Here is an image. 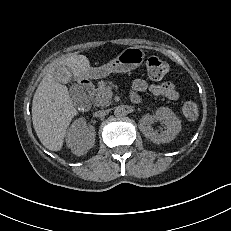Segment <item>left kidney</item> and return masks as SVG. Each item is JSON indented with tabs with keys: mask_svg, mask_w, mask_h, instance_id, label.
I'll return each mask as SVG.
<instances>
[{
	"mask_svg": "<svg viewBox=\"0 0 231 231\" xmlns=\"http://www.w3.org/2000/svg\"><path fill=\"white\" fill-rule=\"evenodd\" d=\"M155 121L163 122L166 129L161 133L155 132L152 127ZM139 129L154 143H168L181 131V122L169 108L160 107L155 115H144L139 120Z\"/></svg>",
	"mask_w": 231,
	"mask_h": 231,
	"instance_id": "obj_1",
	"label": "left kidney"
}]
</instances>
